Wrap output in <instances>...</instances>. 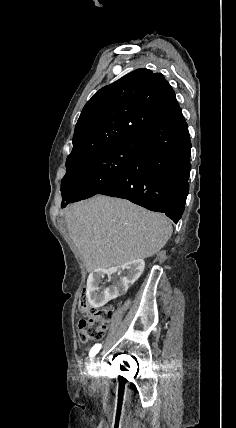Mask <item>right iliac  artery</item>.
<instances>
[{"label":"right iliac artery","mask_w":236,"mask_h":428,"mask_svg":"<svg viewBox=\"0 0 236 428\" xmlns=\"http://www.w3.org/2000/svg\"><path fill=\"white\" fill-rule=\"evenodd\" d=\"M101 349V344H95L90 352H89V356H90V360L92 361L93 357L99 352V350Z\"/></svg>","instance_id":"82829eb1"}]
</instances>
